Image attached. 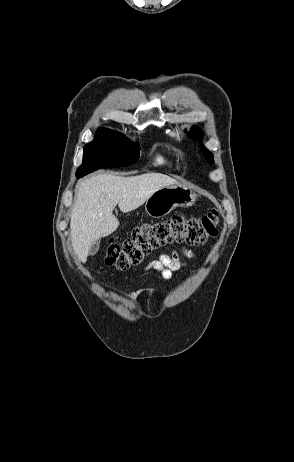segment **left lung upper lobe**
Instances as JSON below:
<instances>
[{
    "label": "left lung upper lobe",
    "instance_id": "left-lung-upper-lobe-1",
    "mask_svg": "<svg viewBox=\"0 0 294 462\" xmlns=\"http://www.w3.org/2000/svg\"><path fill=\"white\" fill-rule=\"evenodd\" d=\"M188 136L194 140H201L203 133L198 127H192L191 131L188 132ZM201 148L210 162H214L213 155L201 144Z\"/></svg>",
    "mask_w": 294,
    "mask_h": 462
}]
</instances>
